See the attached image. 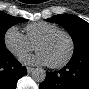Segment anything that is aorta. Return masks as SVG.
Instances as JSON below:
<instances>
[{
	"label": "aorta",
	"mask_w": 89,
	"mask_h": 89,
	"mask_svg": "<svg viewBox=\"0 0 89 89\" xmlns=\"http://www.w3.org/2000/svg\"><path fill=\"white\" fill-rule=\"evenodd\" d=\"M31 77L35 82L41 83L46 78V71L42 68H35L31 73Z\"/></svg>",
	"instance_id": "obj_1"
}]
</instances>
